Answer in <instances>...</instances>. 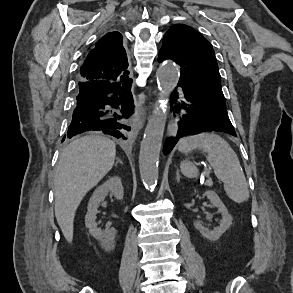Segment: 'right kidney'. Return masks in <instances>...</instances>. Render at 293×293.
<instances>
[{
    "label": "right kidney",
    "instance_id": "1",
    "mask_svg": "<svg viewBox=\"0 0 293 293\" xmlns=\"http://www.w3.org/2000/svg\"><path fill=\"white\" fill-rule=\"evenodd\" d=\"M109 193L113 195L117 200L123 199L124 191L121 179L119 177H112L95 189L89 200L88 211L85 216V225L89 229L90 234L95 239L105 242L107 244L113 243L116 231L114 228L107 229L105 231L101 230V228H98L96 223V214L98 213L97 209L99 207V204L105 199V197Z\"/></svg>",
    "mask_w": 293,
    "mask_h": 293
}]
</instances>
